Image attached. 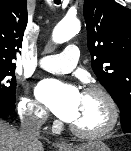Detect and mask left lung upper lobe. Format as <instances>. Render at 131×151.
<instances>
[{
    "instance_id": "5c2ea615",
    "label": "left lung upper lobe",
    "mask_w": 131,
    "mask_h": 151,
    "mask_svg": "<svg viewBox=\"0 0 131 151\" xmlns=\"http://www.w3.org/2000/svg\"><path fill=\"white\" fill-rule=\"evenodd\" d=\"M92 69L120 109L123 132L131 131V10L114 0H85Z\"/></svg>"
}]
</instances>
